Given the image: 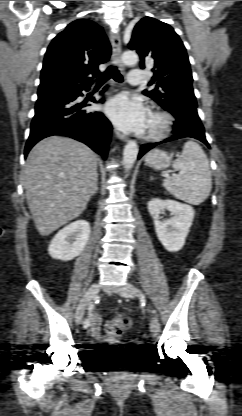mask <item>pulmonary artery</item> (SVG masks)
Returning <instances> with one entry per match:
<instances>
[{
	"label": "pulmonary artery",
	"mask_w": 242,
	"mask_h": 416,
	"mask_svg": "<svg viewBox=\"0 0 242 416\" xmlns=\"http://www.w3.org/2000/svg\"><path fill=\"white\" fill-rule=\"evenodd\" d=\"M144 70L141 69H133L128 74V83L130 85H139L143 79Z\"/></svg>",
	"instance_id": "1"
}]
</instances>
